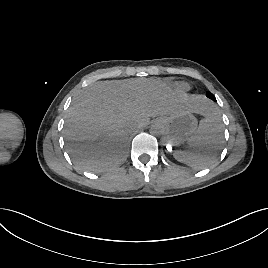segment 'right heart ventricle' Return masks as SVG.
<instances>
[{
  "mask_svg": "<svg viewBox=\"0 0 268 268\" xmlns=\"http://www.w3.org/2000/svg\"><path fill=\"white\" fill-rule=\"evenodd\" d=\"M179 87L183 90H186L188 88L185 84H180Z\"/></svg>",
  "mask_w": 268,
  "mask_h": 268,
  "instance_id": "right-heart-ventricle-1",
  "label": "right heart ventricle"
}]
</instances>
